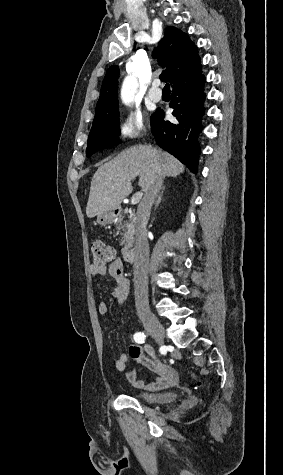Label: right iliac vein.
I'll return each instance as SVG.
<instances>
[{"mask_svg":"<svg viewBox=\"0 0 283 475\" xmlns=\"http://www.w3.org/2000/svg\"><path fill=\"white\" fill-rule=\"evenodd\" d=\"M142 323L153 337L157 339H162L164 337V327L159 319L153 314L143 316Z\"/></svg>","mask_w":283,"mask_h":475,"instance_id":"right-iliac-vein-1","label":"right iliac vein"}]
</instances>
